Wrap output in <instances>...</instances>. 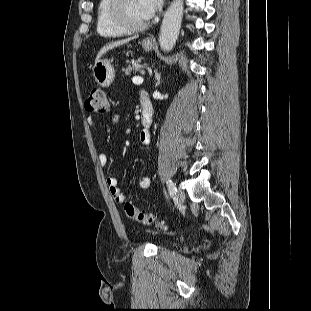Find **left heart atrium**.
Returning <instances> with one entry per match:
<instances>
[{"mask_svg":"<svg viewBox=\"0 0 311 311\" xmlns=\"http://www.w3.org/2000/svg\"><path fill=\"white\" fill-rule=\"evenodd\" d=\"M164 0H140L141 9L147 19L153 17L162 7Z\"/></svg>","mask_w":311,"mask_h":311,"instance_id":"1","label":"left heart atrium"}]
</instances>
